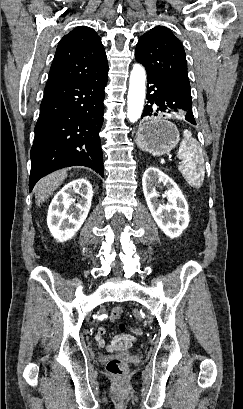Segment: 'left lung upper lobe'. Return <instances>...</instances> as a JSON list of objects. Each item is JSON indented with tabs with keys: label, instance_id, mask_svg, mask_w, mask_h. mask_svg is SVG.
<instances>
[{
	"label": "left lung upper lobe",
	"instance_id": "1",
	"mask_svg": "<svg viewBox=\"0 0 243 409\" xmlns=\"http://www.w3.org/2000/svg\"><path fill=\"white\" fill-rule=\"evenodd\" d=\"M135 57L146 68L147 75L190 90L184 48L166 27L157 26L143 34L136 45Z\"/></svg>",
	"mask_w": 243,
	"mask_h": 409
}]
</instances>
